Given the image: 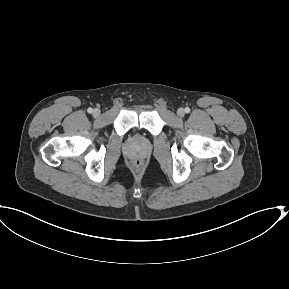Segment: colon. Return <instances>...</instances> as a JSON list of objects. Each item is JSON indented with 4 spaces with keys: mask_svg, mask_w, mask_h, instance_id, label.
<instances>
[{
    "mask_svg": "<svg viewBox=\"0 0 289 289\" xmlns=\"http://www.w3.org/2000/svg\"><path fill=\"white\" fill-rule=\"evenodd\" d=\"M134 164H135V166H139L140 165V161L139 160H136L135 162H134Z\"/></svg>",
    "mask_w": 289,
    "mask_h": 289,
    "instance_id": "1",
    "label": "colon"
}]
</instances>
